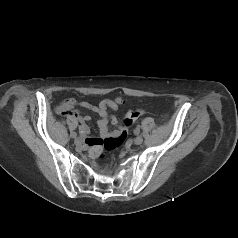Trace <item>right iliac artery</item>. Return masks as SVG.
<instances>
[{
	"instance_id": "obj_1",
	"label": "right iliac artery",
	"mask_w": 238,
	"mask_h": 238,
	"mask_svg": "<svg viewBox=\"0 0 238 238\" xmlns=\"http://www.w3.org/2000/svg\"><path fill=\"white\" fill-rule=\"evenodd\" d=\"M76 136H77V134H76V133H74V134H73V137H74V138H76Z\"/></svg>"
}]
</instances>
